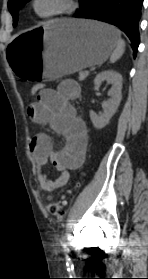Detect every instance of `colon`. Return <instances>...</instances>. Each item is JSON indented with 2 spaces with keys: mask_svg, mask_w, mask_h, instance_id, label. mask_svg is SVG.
<instances>
[{
  "mask_svg": "<svg viewBox=\"0 0 148 279\" xmlns=\"http://www.w3.org/2000/svg\"><path fill=\"white\" fill-rule=\"evenodd\" d=\"M44 89H45V86L43 84H35L31 88V94L39 96ZM78 185H79V183L76 184V186H78ZM64 204H65L64 197H61L57 200L50 201L48 203L47 210L52 216L61 218L63 215Z\"/></svg>",
  "mask_w": 148,
  "mask_h": 279,
  "instance_id": "obj_1",
  "label": "colon"
}]
</instances>
